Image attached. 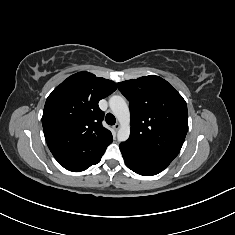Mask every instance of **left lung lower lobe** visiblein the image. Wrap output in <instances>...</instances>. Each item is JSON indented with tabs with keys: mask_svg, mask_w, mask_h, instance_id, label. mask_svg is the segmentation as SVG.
Returning <instances> with one entry per match:
<instances>
[{
	"mask_svg": "<svg viewBox=\"0 0 235 235\" xmlns=\"http://www.w3.org/2000/svg\"><path fill=\"white\" fill-rule=\"evenodd\" d=\"M120 150L127 167L140 175L151 176L158 174L171 163L135 149L126 142L120 144Z\"/></svg>",
	"mask_w": 235,
	"mask_h": 235,
	"instance_id": "left-lung-lower-lobe-1",
	"label": "left lung lower lobe"
}]
</instances>
